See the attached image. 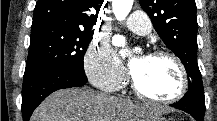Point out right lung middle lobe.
<instances>
[{
    "label": "right lung middle lobe",
    "mask_w": 217,
    "mask_h": 121,
    "mask_svg": "<svg viewBox=\"0 0 217 121\" xmlns=\"http://www.w3.org/2000/svg\"><path fill=\"white\" fill-rule=\"evenodd\" d=\"M93 34V29L54 22L33 25L24 74L51 67L85 74L83 58Z\"/></svg>",
    "instance_id": "right-lung-middle-lobe-1"
}]
</instances>
